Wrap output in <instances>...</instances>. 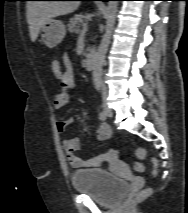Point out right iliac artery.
Listing matches in <instances>:
<instances>
[{"instance_id": "right-iliac-artery-1", "label": "right iliac artery", "mask_w": 188, "mask_h": 213, "mask_svg": "<svg viewBox=\"0 0 188 213\" xmlns=\"http://www.w3.org/2000/svg\"><path fill=\"white\" fill-rule=\"evenodd\" d=\"M100 119L105 121L107 119V111L106 110H103L101 113H100Z\"/></svg>"}]
</instances>
